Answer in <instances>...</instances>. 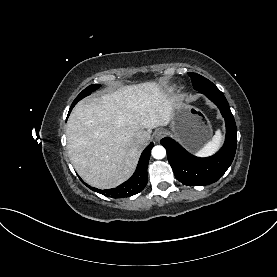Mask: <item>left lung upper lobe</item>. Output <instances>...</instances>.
Returning <instances> with one entry per match:
<instances>
[{
	"mask_svg": "<svg viewBox=\"0 0 277 277\" xmlns=\"http://www.w3.org/2000/svg\"><path fill=\"white\" fill-rule=\"evenodd\" d=\"M188 75L191 77L193 87L197 91H201L207 88H216V86L211 81L199 74L188 73Z\"/></svg>",
	"mask_w": 277,
	"mask_h": 277,
	"instance_id": "5c2ea615",
	"label": "left lung upper lobe"
}]
</instances>
